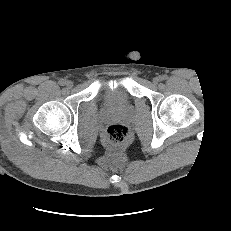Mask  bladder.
I'll list each match as a JSON object with an SVG mask.
<instances>
[{
    "label": "bladder",
    "mask_w": 231,
    "mask_h": 231,
    "mask_svg": "<svg viewBox=\"0 0 231 231\" xmlns=\"http://www.w3.org/2000/svg\"><path fill=\"white\" fill-rule=\"evenodd\" d=\"M127 97L126 89L123 85L117 84L114 87H107L104 90V99L109 105L121 104Z\"/></svg>",
    "instance_id": "obj_1"
}]
</instances>
